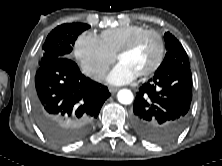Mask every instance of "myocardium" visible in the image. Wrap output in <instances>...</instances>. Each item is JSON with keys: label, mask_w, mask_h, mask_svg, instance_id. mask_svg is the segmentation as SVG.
I'll list each match as a JSON object with an SVG mask.
<instances>
[{"label": "myocardium", "mask_w": 222, "mask_h": 166, "mask_svg": "<svg viewBox=\"0 0 222 166\" xmlns=\"http://www.w3.org/2000/svg\"><path fill=\"white\" fill-rule=\"evenodd\" d=\"M149 36H153L157 39L158 41V55H157V59L154 62V64L147 69L146 71L142 72L141 74H139V77H147L152 75L153 73H155L160 66L162 65L164 58H165V43L163 40V37L161 36V34L155 30H146L140 34H138L136 37H134L129 43H127L123 48H121L118 53L116 54V57L118 60H120V58L130 52H132L133 50H135L140 43L147 37Z\"/></svg>", "instance_id": "1"}]
</instances>
